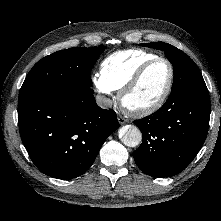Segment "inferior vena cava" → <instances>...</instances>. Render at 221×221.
<instances>
[{
	"instance_id": "inferior-vena-cava-1",
	"label": "inferior vena cava",
	"mask_w": 221,
	"mask_h": 221,
	"mask_svg": "<svg viewBox=\"0 0 221 221\" xmlns=\"http://www.w3.org/2000/svg\"><path fill=\"white\" fill-rule=\"evenodd\" d=\"M96 101H97V104L101 108H110V107H112V100L110 98L105 97V96L98 95L96 97Z\"/></svg>"
}]
</instances>
